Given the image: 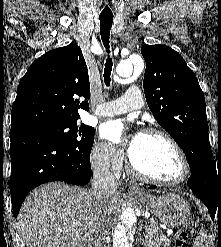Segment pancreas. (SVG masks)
<instances>
[{
    "instance_id": "obj_1",
    "label": "pancreas",
    "mask_w": 221,
    "mask_h": 247,
    "mask_svg": "<svg viewBox=\"0 0 221 247\" xmlns=\"http://www.w3.org/2000/svg\"><path fill=\"white\" fill-rule=\"evenodd\" d=\"M146 247H169L170 240L160 231L155 220H151L146 229V236L143 241Z\"/></svg>"
}]
</instances>
